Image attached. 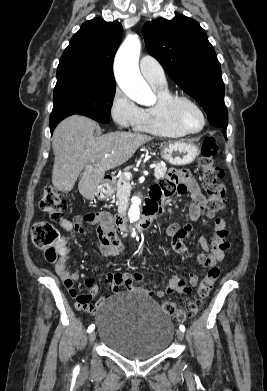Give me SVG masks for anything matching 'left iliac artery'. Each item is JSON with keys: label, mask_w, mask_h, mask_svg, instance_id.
I'll list each match as a JSON object with an SVG mask.
<instances>
[{"label": "left iliac artery", "mask_w": 267, "mask_h": 391, "mask_svg": "<svg viewBox=\"0 0 267 391\" xmlns=\"http://www.w3.org/2000/svg\"><path fill=\"white\" fill-rule=\"evenodd\" d=\"M179 328H180V330H181V331H183V332L185 331V327H184V325H180V327H179Z\"/></svg>", "instance_id": "44dca946"}]
</instances>
